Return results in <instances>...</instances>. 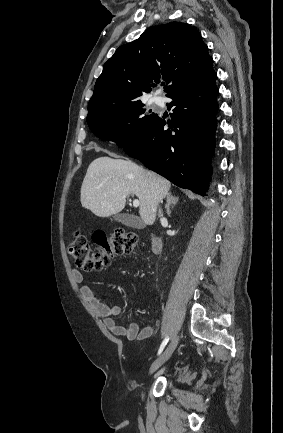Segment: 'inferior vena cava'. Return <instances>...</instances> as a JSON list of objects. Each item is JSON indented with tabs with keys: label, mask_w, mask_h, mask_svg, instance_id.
I'll return each mask as SVG.
<instances>
[{
	"label": "inferior vena cava",
	"mask_w": 283,
	"mask_h": 433,
	"mask_svg": "<svg viewBox=\"0 0 283 433\" xmlns=\"http://www.w3.org/2000/svg\"><path fill=\"white\" fill-rule=\"evenodd\" d=\"M159 217H162L161 210H159Z\"/></svg>",
	"instance_id": "inferior-vena-cava-1"
}]
</instances>
